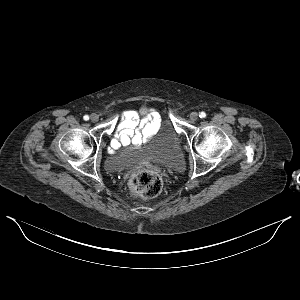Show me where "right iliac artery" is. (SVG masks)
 <instances>
[{
  "label": "right iliac artery",
  "mask_w": 300,
  "mask_h": 300,
  "mask_svg": "<svg viewBox=\"0 0 300 300\" xmlns=\"http://www.w3.org/2000/svg\"><path fill=\"white\" fill-rule=\"evenodd\" d=\"M83 119H84L85 121H87V120H89V116H88V115H85V116L83 117Z\"/></svg>",
  "instance_id": "82829eb1"
}]
</instances>
